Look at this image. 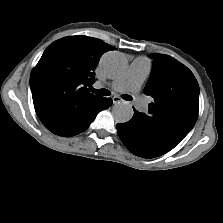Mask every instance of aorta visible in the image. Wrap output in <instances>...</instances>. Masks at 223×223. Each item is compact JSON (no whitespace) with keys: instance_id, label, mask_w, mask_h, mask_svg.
Masks as SVG:
<instances>
[{"instance_id":"762f6f07","label":"aorta","mask_w":223,"mask_h":223,"mask_svg":"<svg viewBox=\"0 0 223 223\" xmlns=\"http://www.w3.org/2000/svg\"><path fill=\"white\" fill-rule=\"evenodd\" d=\"M99 65L106 75L115 77L122 73L126 63L121 56L108 53L101 58ZM133 114L132 106L126 102L116 103L112 108V115L117 123H127L131 120Z\"/></svg>"}]
</instances>
